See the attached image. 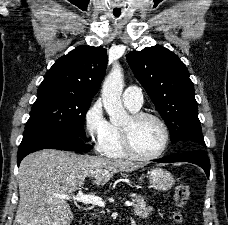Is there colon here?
I'll return each mask as SVG.
<instances>
[{"label": "colon", "instance_id": "1", "mask_svg": "<svg viewBox=\"0 0 228 225\" xmlns=\"http://www.w3.org/2000/svg\"><path fill=\"white\" fill-rule=\"evenodd\" d=\"M190 195V187L186 183H179L175 186L174 197L176 210L173 212L172 220L176 225H183L184 216L182 208L187 202Z\"/></svg>", "mask_w": 228, "mask_h": 225}]
</instances>
